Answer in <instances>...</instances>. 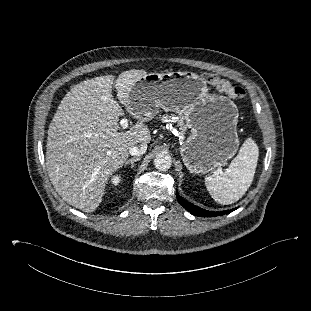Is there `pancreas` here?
<instances>
[{"label": "pancreas", "mask_w": 311, "mask_h": 311, "mask_svg": "<svg viewBox=\"0 0 311 311\" xmlns=\"http://www.w3.org/2000/svg\"><path fill=\"white\" fill-rule=\"evenodd\" d=\"M161 121L162 122H165V121H168V122H172V123H177L180 131H179V134H180V138L181 139H184V134L186 132V125L184 124V120H183V117L180 116V117H176L175 115L171 114V115H163L161 117Z\"/></svg>", "instance_id": "obj_1"}]
</instances>
